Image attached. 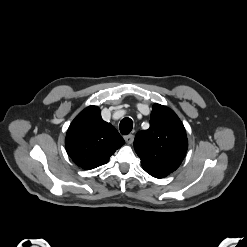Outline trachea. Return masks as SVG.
<instances>
[{"mask_svg":"<svg viewBox=\"0 0 247 247\" xmlns=\"http://www.w3.org/2000/svg\"><path fill=\"white\" fill-rule=\"evenodd\" d=\"M132 128H133V121L130 118L126 117L121 120L119 124V129H120L121 134L123 135L129 134Z\"/></svg>","mask_w":247,"mask_h":247,"instance_id":"obj_1","label":"trachea"}]
</instances>
